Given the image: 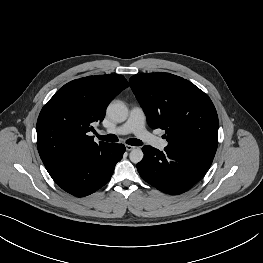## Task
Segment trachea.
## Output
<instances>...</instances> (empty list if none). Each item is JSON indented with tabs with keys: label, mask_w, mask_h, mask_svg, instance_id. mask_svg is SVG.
<instances>
[{
	"label": "trachea",
	"mask_w": 263,
	"mask_h": 263,
	"mask_svg": "<svg viewBox=\"0 0 263 263\" xmlns=\"http://www.w3.org/2000/svg\"><path fill=\"white\" fill-rule=\"evenodd\" d=\"M97 137L100 140L107 141V142H118L117 136L113 135V134H108V135H104V136L97 135ZM126 142H127V144L132 145V146L142 145V141H140L139 139H135V138L128 139Z\"/></svg>",
	"instance_id": "obj_1"
}]
</instances>
